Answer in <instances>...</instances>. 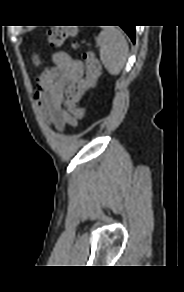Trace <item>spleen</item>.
I'll list each match as a JSON object with an SVG mask.
<instances>
[{"mask_svg":"<svg viewBox=\"0 0 184 292\" xmlns=\"http://www.w3.org/2000/svg\"><path fill=\"white\" fill-rule=\"evenodd\" d=\"M99 56L111 75H118L126 62L129 46L123 33L116 28H106L96 38Z\"/></svg>","mask_w":184,"mask_h":292,"instance_id":"1","label":"spleen"}]
</instances>
